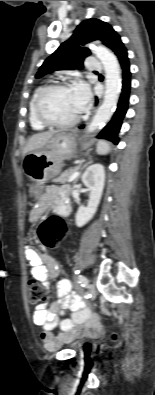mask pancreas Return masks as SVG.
Segmentation results:
<instances>
[{"instance_id":"pancreas-1","label":"pancreas","mask_w":155,"mask_h":395,"mask_svg":"<svg viewBox=\"0 0 155 395\" xmlns=\"http://www.w3.org/2000/svg\"><path fill=\"white\" fill-rule=\"evenodd\" d=\"M78 170L77 167L71 168L65 172H63L62 174H60L57 178L53 179L54 183H65L68 182L69 177Z\"/></svg>"}]
</instances>
